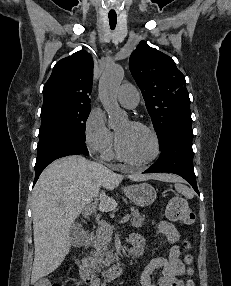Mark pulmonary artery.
<instances>
[{
  "mask_svg": "<svg viewBox=\"0 0 231 286\" xmlns=\"http://www.w3.org/2000/svg\"><path fill=\"white\" fill-rule=\"evenodd\" d=\"M118 101L126 108L133 109L139 103V93L131 84H123L117 92Z\"/></svg>",
  "mask_w": 231,
  "mask_h": 286,
  "instance_id": "obj_1",
  "label": "pulmonary artery"
}]
</instances>
